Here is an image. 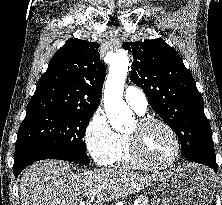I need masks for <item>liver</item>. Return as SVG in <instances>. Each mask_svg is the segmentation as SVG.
Segmentation results:
<instances>
[{
  "label": "liver",
  "mask_w": 222,
  "mask_h": 205,
  "mask_svg": "<svg viewBox=\"0 0 222 205\" xmlns=\"http://www.w3.org/2000/svg\"><path fill=\"white\" fill-rule=\"evenodd\" d=\"M156 179L119 167L73 173L69 162L43 160L26 169L20 180V198L22 205H84V198L93 196L95 205H102L137 193Z\"/></svg>",
  "instance_id": "liver-1"
}]
</instances>
